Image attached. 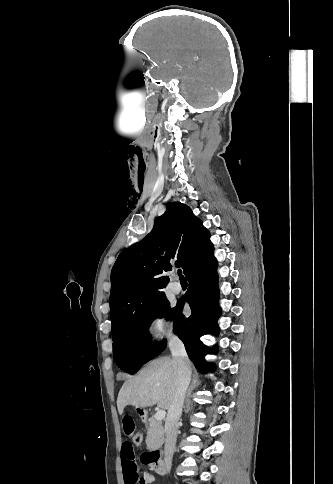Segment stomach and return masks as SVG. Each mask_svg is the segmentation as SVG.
Instances as JSON below:
<instances>
[{"mask_svg": "<svg viewBox=\"0 0 333 484\" xmlns=\"http://www.w3.org/2000/svg\"><path fill=\"white\" fill-rule=\"evenodd\" d=\"M136 411H137V412H138L140 415L145 414V410H144V409H142V408H137V410H136Z\"/></svg>", "mask_w": 333, "mask_h": 484, "instance_id": "0dacf381", "label": "stomach"}]
</instances>
